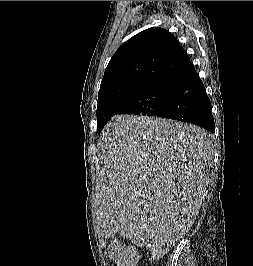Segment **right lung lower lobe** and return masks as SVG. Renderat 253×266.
<instances>
[{
  "mask_svg": "<svg viewBox=\"0 0 253 266\" xmlns=\"http://www.w3.org/2000/svg\"><path fill=\"white\" fill-rule=\"evenodd\" d=\"M160 117L188 122L214 132L211 103L194 67L172 83Z\"/></svg>",
  "mask_w": 253,
  "mask_h": 266,
  "instance_id": "1",
  "label": "right lung lower lobe"
}]
</instances>
